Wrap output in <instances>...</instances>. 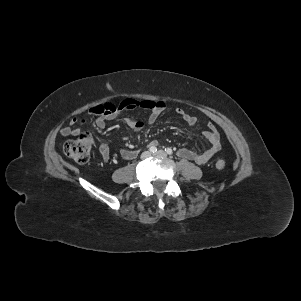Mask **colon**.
Returning a JSON list of instances; mask_svg holds the SVG:
<instances>
[{
  "instance_id": "obj_1",
  "label": "colon",
  "mask_w": 301,
  "mask_h": 301,
  "mask_svg": "<svg viewBox=\"0 0 301 301\" xmlns=\"http://www.w3.org/2000/svg\"><path fill=\"white\" fill-rule=\"evenodd\" d=\"M106 111L114 110V106L106 104ZM93 140L90 134L83 132L74 139L65 142L63 146L64 153L74 159L78 163H86L90 159ZM217 169L222 170L225 168L226 163L224 160H217L215 163Z\"/></svg>"
}]
</instances>
